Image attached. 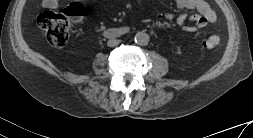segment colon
<instances>
[{
    "label": "colon",
    "instance_id": "colon-1",
    "mask_svg": "<svg viewBox=\"0 0 253 138\" xmlns=\"http://www.w3.org/2000/svg\"><path fill=\"white\" fill-rule=\"evenodd\" d=\"M84 14V6L81 3L74 2L61 13L44 11L38 17V24L48 31L51 43L60 47L68 42L71 23L79 21ZM219 40L218 36L211 35L206 39L205 46L212 48L219 43Z\"/></svg>",
    "mask_w": 253,
    "mask_h": 138
}]
</instances>
